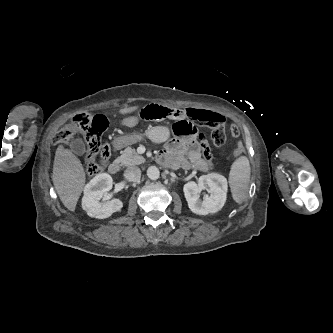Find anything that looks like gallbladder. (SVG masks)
Segmentation results:
<instances>
[{"instance_id": "gallbladder-1", "label": "gallbladder", "mask_w": 333, "mask_h": 333, "mask_svg": "<svg viewBox=\"0 0 333 333\" xmlns=\"http://www.w3.org/2000/svg\"><path fill=\"white\" fill-rule=\"evenodd\" d=\"M74 152H76V153H81V152H83L84 150H83V146H82V141L79 139L78 141H77V144L74 146Z\"/></svg>"}]
</instances>
